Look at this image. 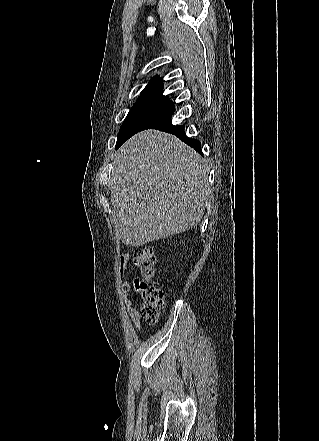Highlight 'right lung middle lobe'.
I'll return each instance as SVG.
<instances>
[{"instance_id": "1", "label": "right lung middle lobe", "mask_w": 319, "mask_h": 441, "mask_svg": "<svg viewBox=\"0 0 319 441\" xmlns=\"http://www.w3.org/2000/svg\"><path fill=\"white\" fill-rule=\"evenodd\" d=\"M174 108L172 102L138 99L125 118L116 143L118 149L127 139L144 130L155 119Z\"/></svg>"}]
</instances>
